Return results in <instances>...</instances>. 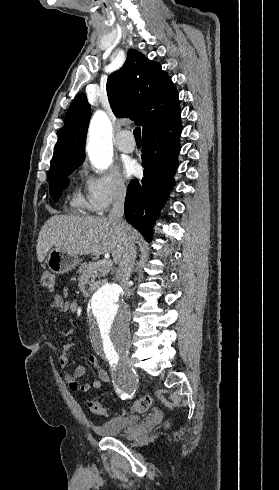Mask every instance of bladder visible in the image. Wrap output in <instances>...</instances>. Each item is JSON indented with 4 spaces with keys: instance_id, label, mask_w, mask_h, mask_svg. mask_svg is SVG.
Returning a JSON list of instances; mask_svg holds the SVG:
<instances>
[{
    "instance_id": "1",
    "label": "bladder",
    "mask_w": 279,
    "mask_h": 490,
    "mask_svg": "<svg viewBox=\"0 0 279 490\" xmlns=\"http://www.w3.org/2000/svg\"><path fill=\"white\" fill-rule=\"evenodd\" d=\"M139 422L138 416L120 415L102 422L95 428V431L101 437L120 436L125 431L136 429Z\"/></svg>"
}]
</instances>
